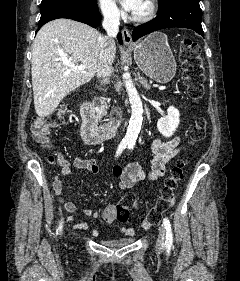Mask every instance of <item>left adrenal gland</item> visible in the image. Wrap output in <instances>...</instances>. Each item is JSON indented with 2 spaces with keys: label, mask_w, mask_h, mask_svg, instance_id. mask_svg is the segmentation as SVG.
I'll return each instance as SVG.
<instances>
[{
  "label": "left adrenal gland",
  "mask_w": 240,
  "mask_h": 281,
  "mask_svg": "<svg viewBox=\"0 0 240 281\" xmlns=\"http://www.w3.org/2000/svg\"><path fill=\"white\" fill-rule=\"evenodd\" d=\"M138 77H139V80H140L141 84L143 85V87H144L146 90L150 89L151 84L148 83L147 80L144 79V78L140 75L139 72H138Z\"/></svg>",
  "instance_id": "obj_1"
}]
</instances>
